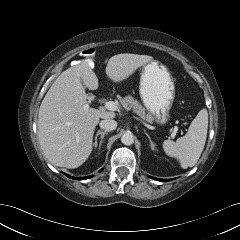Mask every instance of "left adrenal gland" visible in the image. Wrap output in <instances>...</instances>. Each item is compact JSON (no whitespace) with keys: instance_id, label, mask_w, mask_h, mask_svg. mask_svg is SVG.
I'll return each mask as SVG.
<instances>
[{"instance_id":"1","label":"left adrenal gland","mask_w":240,"mask_h":240,"mask_svg":"<svg viewBox=\"0 0 240 240\" xmlns=\"http://www.w3.org/2000/svg\"><path fill=\"white\" fill-rule=\"evenodd\" d=\"M144 133H145V135H146V136L148 137V139H149V142H150L151 148H152L153 150H155V145H154V143H153V141H152L150 135H149L145 130H144Z\"/></svg>"}]
</instances>
